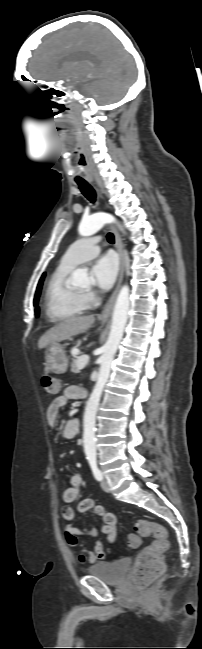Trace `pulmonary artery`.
<instances>
[{"mask_svg": "<svg viewBox=\"0 0 202 649\" xmlns=\"http://www.w3.org/2000/svg\"><path fill=\"white\" fill-rule=\"evenodd\" d=\"M100 239L87 237L82 238L67 249L62 258V263L76 266L79 263L89 260L96 256L100 251Z\"/></svg>", "mask_w": 202, "mask_h": 649, "instance_id": "1", "label": "pulmonary artery"}]
</instances>
